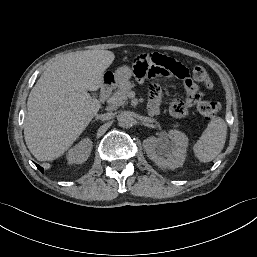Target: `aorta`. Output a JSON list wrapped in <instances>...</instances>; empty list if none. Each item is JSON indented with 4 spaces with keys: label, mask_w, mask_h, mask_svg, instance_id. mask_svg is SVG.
I'll return each instance as SVG.
<instances>
[{
    "label": "aorta",
    "mask_w": 257,
    "mask_h": 257,
    "mask_svg": "<svg viewBox=\"0 0 257 257\" xmlns=\"http://www.w3.org/2000/svg\"><path fill=\"white\" fill-rule=\"evenodd\" d=\"M118 123L121 127L129 128L133 125L134 119L129 111H122L117 117Z\"/></svg>",
    "instance_id": "762f6f07"
}]
</instances>
